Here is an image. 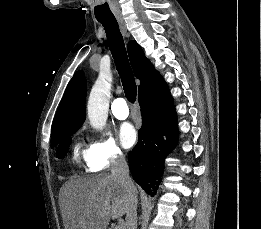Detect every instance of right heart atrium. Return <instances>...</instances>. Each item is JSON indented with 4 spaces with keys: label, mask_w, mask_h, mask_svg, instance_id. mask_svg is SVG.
Segmentation results:
<instances>
[{
    "label": "right heart atrium",
    "mask_w": 261,
    "mask_h": 229,
    "mask_svg": "<svg viewBox=\"0 0 261 229\" xmlns=\"http://www.w3.org/2000/svg\"><path fill=\"white\" fill-rule=\"evenodd\" d=\"M124 160L123 150L113 138L102 136L89 144L87 166L92 172L107 170Z\"/></svg>",
    "instance_id": "1"
}]
</instances>
